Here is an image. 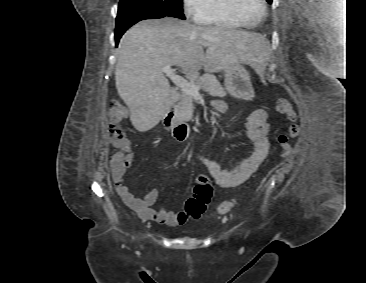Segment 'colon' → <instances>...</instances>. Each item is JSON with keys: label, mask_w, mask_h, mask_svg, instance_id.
<instances>
[{"label": "colon", "mask_w": 366, "mask_h": 283, "mask_svg": "<svg viewBox=\"0 0 366 283\" xmlns=\"http://www.w3.org/2000/svg\"><path fill=\"white\" fill-rule=\"evenodd\" d=\"M276 111L286 117L290 122L287 129L277 137V142L280 147L281 155L287 156L291 153V141L297 137L299 127L297 124V115L293 110L292 105L287 99H278L276 102ZM126 111L123 105L118 101H113L110 104L109 117V132L111 144L120 150L117 156V162L122 167H128L131 161L130 141L127 138L125 131L120 125L121 120L125 117ZM213 194V186L210 179L206 175H199L196 178L193 195L187 199L185 204L186 217L198 219L204 213ZM234 206L233 201L220 203L216 212L220 215L229 212Z\"/></svg>", "instance_id": "5ec220e1"}]
</instances>
